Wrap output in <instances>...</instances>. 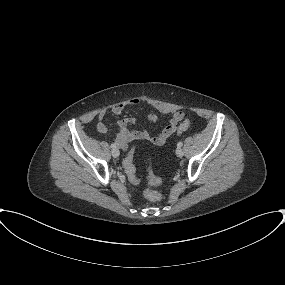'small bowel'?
<instances>
[{"mask_svg":"<svg viewBox=\"0 0 285 285\" xmlns=\"http://www.w3.org/2000/svg\"><path fill=\"white\" fill-rule=\"evenodd\" d=\"M143 102L134 99L127 103H118L112 106L111 112L115 115L123 114L127 109L138 106ZM184 112L177 111L173 114L170 123L157 135H151L146 130L135 131L130 127L133 124V119L124 118L115 123L116 137L114 139L115 145L119 148L126 150L129 143L136 141H149L154 145L161 146L166 143V141L178 130L179 124L184 120ZM105 112H100L98 115V123L96 129L98 132H105L107 130V125L105 123ZM179 117V118H178ZM148 121L155 123L157 121V116L155 114L148 115Z\"/></svg>","mask_w":285,"mask_h":285,"instance_id":"small-bowel-1","label":"small bowel"}]
</instances>
